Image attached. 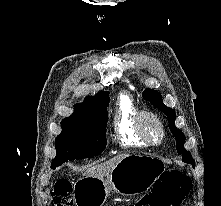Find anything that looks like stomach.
<instances>
[{"mask_svg": "<svg viewBox=\"0 0 221 206\" xmlns=\"http://www.w3.org/2000/svg\"><path fill=\"white\" fill-rule=\"evenodd\" d=\"M165 168L161 158L128 155L106 178L85 176L80 179L77 203L80 206H102L112 190L123 195L143 193L151 188Z\"/></svg>", "mask_w": 221, "mask_h": 206, "instance_id": "0dacf381", "label": "stomach"}]
</instances>
